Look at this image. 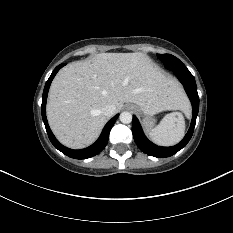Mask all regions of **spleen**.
Here are the masks:
<instances>
[{
	"instance_id": "1",
	"label": "spleen",
	"mask_w": 233,
	"mask_h": 233,
	"mask_svg": "<svg viewBox=\"0 0 233 233\" xmlns=\"http://www.w3.org/2000/svg\"><path fill=\"white\" fill-rule=\"evenodd\" d=\"M185 119L181 112L167 114L150 133V139L160 146H172L183 138Z\"/></svg>"
}]
</instances>
